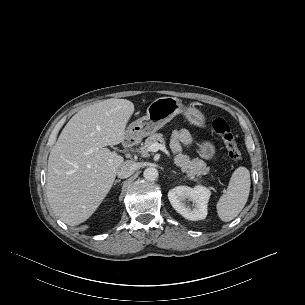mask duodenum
<instances>
[{
	"label": "duodenum",
	"mask_w": 305,
	"mask_h": 305,
	"mask_svg": "<svg viewBox=\"0 0 305 305\" xmlns=\"http://www.w3.org/2000/svg\"><path fill=\"white\" fill-rule=\"evenodd\" d=\"M136 140H137V137L134 134H130L125 138V140L123 142V146L125 148H129L135 144Z\"/></svg>",
	"instance_id": "410a0bca"
}]
</instances>
